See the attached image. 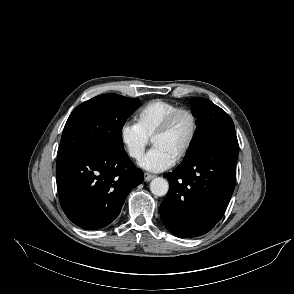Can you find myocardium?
<instances>
[{
  "mask_svg": "<svg viewBox=\"0 0 294 294\" xmlns=\"http://www.w3.org/2000/svg\"><path fill=\"white\" fill-rule=\"evenodd\" d=\"M181 115H187L190 118L192 128H191V133H190L189 139H188L185 147L182 149V151L176 157V161L183 160L189 154V152L191 151V149L194 146V143L196 141L197 134H198V128H199L198 118H197L196 114L189 108L179 107L178 109L171 112L165 118V120L161 123V125L158 127V129L155 131V133L152 136V143H153V141L156 138L166 134L171 129V127L173 126V124L175 123L177 118Z\"/></svg>",
  "mask_w": 294,
  "mask_h": 294,
  "instance_id": "myocardium-1",
  "label": "myocardium"
}]
</instances>
